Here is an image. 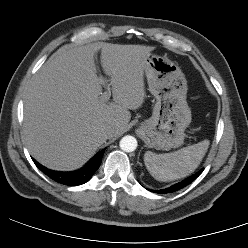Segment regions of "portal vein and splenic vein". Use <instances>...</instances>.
<instances>
[{
  "mask_svg": "<svg viewBox=\"0 0 248 248\" xmlns=\"http://www.w3.org/2000/svg\"><path fill=\"white\" fill-rule=\"evenodd\" d=\"M102 96H103V99L105 101H108L110 99V97H111V90H110V87L109 86L107 87V91L104 92Z\"/></svg>",
  "mask_w": 248,
  "mask_h": 248,
  "instance_id": "1",
  "label": "portal vein and splenic vein"
}]
</instances>
